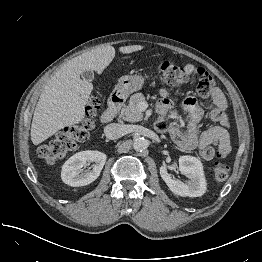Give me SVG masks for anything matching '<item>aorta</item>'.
<instances>
[{"instance_id": "1", "label": "aorta", "mask_w": 262, "mask_h": 262, "mask_svg": "<svg viewBox=\"0 0 262 262\" xmlns=\"http://www.w3.org/2000/svg\"><path fill=\"white\" fill-rule=\"evenodd\" d=\"M148 147V140L145 139L144 137H135L134 140H133V148L134 150L136 151H144L146 150Z\"/></svg>"}]
</instances>
